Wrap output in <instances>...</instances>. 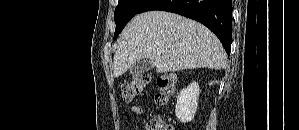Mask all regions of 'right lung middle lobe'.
<instances>
[{
  "mask_svg": "<svg viewBox=\"0 0 299 130\" xmlns=\"http://www.w3.org/2000/svg\"><path fill=\"white\" fill-rule=\"evenodd\" d=\"M147 1L148 0H119L114 12V20L116 23L114 39H116L129 20L138 14L140 8Z\"/></svg>",
  "mask_w": 299,
  "mask_h": 130,
  "instance_id": "1",
  "label": "right lung middle lobe"
}]
</instances>
